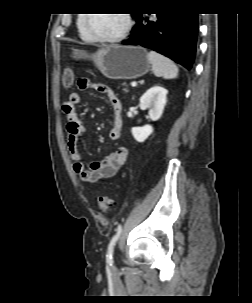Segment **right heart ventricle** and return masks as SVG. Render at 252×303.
<instances>
[{
  "label": "right heart ventricle",
  "instance_id": "right-heart-ventricle-1",
  "mask_svg": "<svg viewBox=\"0 0 252 303\" xmlns=\"http://www.w3.org/2000/svg\"><path fill=\"white\" fill-rule=\"evenodd\" d=\"M77 25H78V28H79V31H80V34L83 36V37H87L86 36V33L84 31V19L83 18H79L78 21H77Z\"/></svg>",
  "mask_w": 252,
  "mask_h": 303
}]
</instances>
